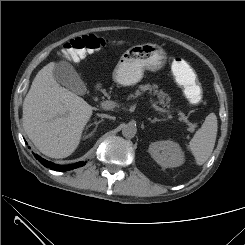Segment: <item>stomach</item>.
<instances>
[{
    "instance_id": "stomach-1",
    "label": "stomach",
    "mask_w": 245,
    "mask_h": 245,
    "mask_svg": "<svg viewBox=\"0 0 245 245\" xmlns=\"http://www.w3.org/2000/svg\"><path fill=\"white\" fill-rule=\"evenodd\" d=\"M166 59V52L157 44L135 45L122 54L112 77L122 86L135 85L143 78L145 70L162 69Z\"/></svg>"
}]
</instances>
